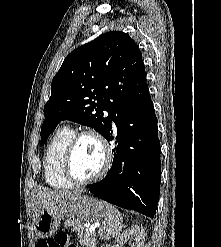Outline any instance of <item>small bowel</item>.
Returning a JSON list of instances; mask_svg holds the SVG:
<instances>
[{
  "instance_id": "obj_1",
  "label": "small bowel",
  "mask_w": 221,
  "mask_h": 247,
  "mask_svg": "<svg viewBox=\"0 0 221 247\" xmlns=\"http://www.w3.org/2000/svg\"><path fill=\"white\" fill-rule=\"evenodd\" d=\"M44 241H45V240H40V241H38L37 244H36V247H40V246H39V243H43ZM70 247H75V246H70Z\"/></svg>"
}]
</instances>
